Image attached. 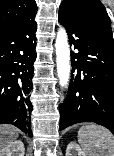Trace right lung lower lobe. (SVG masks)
Returning a JSON list of instances; mask_svg holds the SVG:
<instances>
[{
	"mask_svg": "<svg viewBox=\"0 0 114 156\" xmlns=\"http://www.w3.org/2000/svg\"><path fill=\"white\" fill-rule=\"evenodd\" d=\"M34 17L0 32V124H13L29 136V93L36 59Z\"/></svg>",
	"mask_w": 114,
	"mask_h": 156,
	"instance_id": "right-lung-lower-lobe-1",
	"label": "right lung lower lobe"
}]
</instances>
